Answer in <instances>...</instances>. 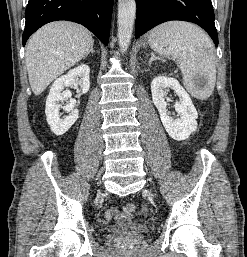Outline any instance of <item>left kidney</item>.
<instances>
[{
    "label": "left kidney",
    "instance_id": "1",
    "mask_svg": "<svg viewBox=\"0 0 247 257\" xmlns=\"http://www.w3.org/2000/svg\"><path fill=\"white\" fill-rule=\"evenodd\" d=\"M168 89L174 90L179 97V101L174 105L178 118H173L167 113V102L164 97ZM151 92L153 103L169 136L177 141L189 138L197 129L198 113L185 89L175 78L159 76L152 80Z\"/></svg>",
    "mask_w": 247,
    "mask_h": 257
}]
</instances>
